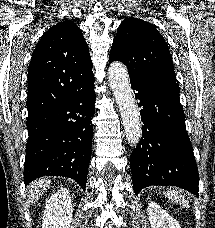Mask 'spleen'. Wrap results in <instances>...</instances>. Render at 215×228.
Returning <instances> with one entry per match:
<instances>
[{
	"label": "spleen",
	"mask_w": 215,
	"mask_h": 228,
	"mask_svg": "<svg viewBox=\"0 0 215 228\" xmlns=\"http://www.w3.org/2000/svg\"><path fill=\"white\" fill-rule=\"evenodd\" d=\"M165 194L166 196H168L169 200H172V202H179V204H182L184 208H187L188 202L186 198H183V196H180L177 190H169V192H165Z\"/></svg>",
	"instance_id": "3e777b00"
}]
</instances>
